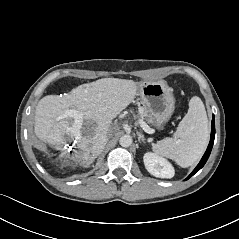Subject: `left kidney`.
Returning a JSON list of instances; mask_svg holds the SVG:
<instances>
[{
	"instance_id": "1",
	"label": "left kidney",
	"mask_w": 239,
	"mask_h": 239,
	"mask_svg": "<svg viewBox=\"0 0 239 239\" xmlns=\"http://www.w3.org/2000/svg\"><path fill=\"white\" fill-rule=\"evenodd\" d=\"M144 165L147 171L159 178H172L175 174L173 166L164 158L147 152L143 157Z\"/></svg>"
}]
</instances>
